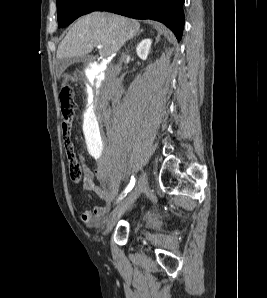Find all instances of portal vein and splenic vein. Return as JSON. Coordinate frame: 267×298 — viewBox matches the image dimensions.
<instances>
[{"instance_id":"portal-vein-and-splenic-vein-1","label":"portal vein and splenic vein","mask_w":267,"mask_h":298,"mask_svg":"<svg viewBox=\"0 0 267 298\" xmlns=\"http://www.w3.org/2000/svg\"><path fill=\"white\" fill-rule=\"evenodd\" d=\"M102 45H97V49H102Z\"/></svg>"}]
</instances>
